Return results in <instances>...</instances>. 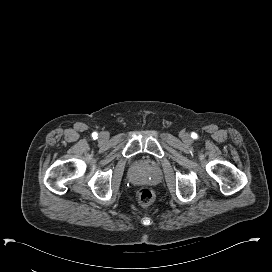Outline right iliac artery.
I'll return each instance as SVG.
<instances>
[{
	"mask_svg": "<svg viewBox=\"0 0 272 272\" xmlns=\"http://www.w3.org/2000/svg\"><path fill=\"white\" fill-rule=\"evenodd\" d=\"M92 137H93V139H97L98 138V134L96 132H93L92 133Z\"/></svg>",
	"mask_w": 272,
	"mask_h": 272,
	"instance_id": "right-iliac-artery-1",
	"label": "right iliac artery"
}]
</instances>
